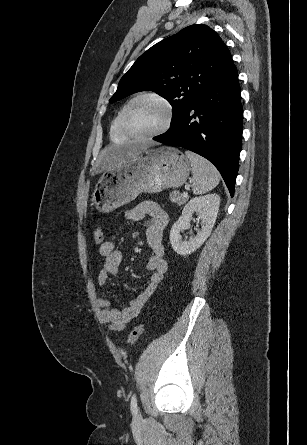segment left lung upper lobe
I'll use <instances>...</instances> for the list:
<instances>
[{
    "mask_svg": "<svg viewBox=\"0 0 307 445\" xmlns=\"http://www.w3.org/2000/svg\"><path fill=\"white\" fill-rule=\"evenodd\" d=\"M231 63L228 48L214 30L191 25L142 54L121 78L109 102L154 91L172 105V127Z\"/></svg>",
    "mask_w": 307,
    "mask_h": 445,
    "instance_id": "left-lung-upper-lobe-1",
    "label": "left lung upper lobe"
}]
</instances>
